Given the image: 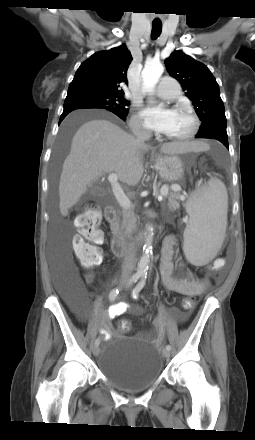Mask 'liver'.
Here are the masks:
<instances>
[{
	"label": "liver",
	"mask_w": 255,
	"mask_h": 440,
	"mask_svg": "<svg viewBox=\"0 0 255 440\" xmlns=\"http://www.w3.org/2000/svg\"><path fill=\"white\" fill-rule=\"evenodd\" d=\"M148 145L138 141L116 124L104 119L85 122L74 134L59 182V208L62 216L86 192L87 187L104 173L114 172L129 186L139 183L143 175V153ZM200 141L163 144L160 152L183 154L207 149Z\"/></svg>",
	"instance_id": "1"
}]
</instances>
